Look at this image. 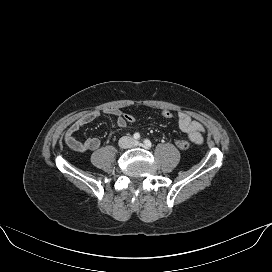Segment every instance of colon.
<instances>
[{
  "label": "colon",
  "instance_id": "5ec220e1",
  "mask_svg": "<svg viewBox=\"0 0 272 272\" xmlns=\"http://www.w3.org/2000/svg\"><path fill=\"white\" fill-rule=\"evenodd\" d=\"M161 115L165 119H171L173 117V112L169 109H164L161 112ZM124 119L127 123H134L136 121V117L132 114H123ZM176 146L181 150H186L189 147V143L184 139H179L176 141Z\"/></svg>",
  "mask_w": 272,
  "mask_h": 272
}]
</instances>
